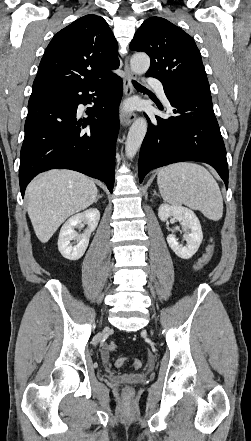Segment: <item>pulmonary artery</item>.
<instances>
[{
	"label": "pulmonary artery",
	"instance_id": "pulmonary-artery-1",
	"mask_svg": "<svg viewBox=\"0 0 251 441\" xmlns=\"http://www.w3.org/2000/svg\"><path fill=\"white\" fill-rule=\"evenodd\" d=\"M148 83L156 90L159 97L164 101L167 102V97L164 91L163 84L157 80V79H149Z\"/></svg>",
	"mask_w": 251,
	"mask_h": 441
}]
</instances>
